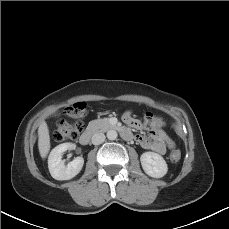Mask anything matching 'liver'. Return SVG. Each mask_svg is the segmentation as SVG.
Returning a JSON list of instances; mask_svg holds the SVG:
<instances>
[{
	"instance_id": "6515ba94",
	"label": "liver",
	"mask_w": 229,
	"mask_h": 229,
	"mask_svg": "<svg viewBox=\"0 0 229 229\" xmlns=\"http://www.w3.org/2000/svg\"><path fill=\"white\" fill-rule=\"evenodd\" d=\"M50 135L47 123L42 121L38 128V149L41 158H46L50 151Z\"/></svg>"
}]
</instances>
